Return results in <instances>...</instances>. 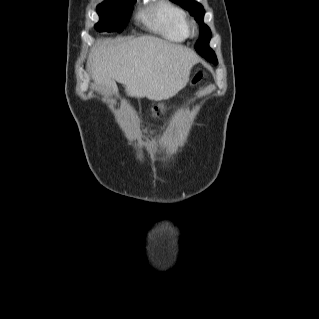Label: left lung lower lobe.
<instances>
[{
	"label": "left lung lower lobe",
	"mask_w": 319,
	"mask_h": 319,
	"mask_svg": "<svg viewBox=\"0 0 319 319\" xmlns=\"http://www.w3.org/2000/svg\"><path fill=\"white\" fill-rule=\"evenodd\" d=\"M197 49L199 50L198 53H199L202 57H204V58H206V59L209 58V57L206 55V53H205L202 49L199 48V45L197 46ZM207 60H208V59H207ZM209 61L212 62V63H214V64H217V63H218L216 56H215L214 58H211Z\"/></svg>",
	"instance_id": "0a47b994"
}]
</instances>
